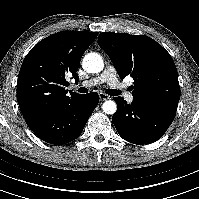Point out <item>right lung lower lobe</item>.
I'll return each instance as SVG.
<instances>
[{
  "mask_svg": "<svg viewBox=\"0 0 199 199\" xmlns=\"http://www.w3.org/2000/svg\"><path fill=\"white\" fill-rule=\"evenodd\" d=\"M98 102L99 95L91 92L26 121L41 140L55 145L66 144L80 136Z\"/></svg>",
  "mask_w": 199,
  "mask_h": 199,
  "instance_id": "obj_1",
  "label": "right lung lower lobe"
}]
</instances>
